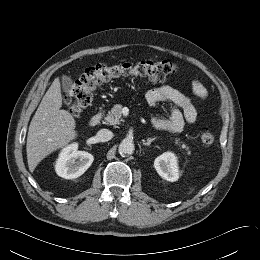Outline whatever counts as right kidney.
Returning <instances> with one entry per match:
<instances>
[{"label":"right kidney","instance_id":"1","mask_svg":"<svg viewBox=\"0 0 260 260\" xmlns=\"http://www.w3.org/2000/svg\"><path fill=\"white\" fill-rule=\"evenodd\" d=\"M94 157L86 151H78V144L74 143L63 148L56 161V173L65 179L81 176L92 164Z\"/></svg>","mask_w":260,"mask_h":260}]
</instances>
